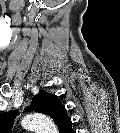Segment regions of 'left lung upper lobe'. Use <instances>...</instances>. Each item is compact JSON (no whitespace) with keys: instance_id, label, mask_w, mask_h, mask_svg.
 Masks as SVG:
<instances>
[{"instance_id":"5c2ea615","label":"left lung upper lobe","mask_w":120,"mask_h":133,"mask_svg":"<svg viewBox=\"0 0 120 133\" xmlns=\"http://www.w3.org/2000/svg\"><path fill=\"white\" fill-rule=\"evenodd\" d=\"M31 110L49 115L54 119L56 124H65L66 118L65 108L61 105L58 98L42 92L30 107Z\"/></svg>"}]
</instances>
